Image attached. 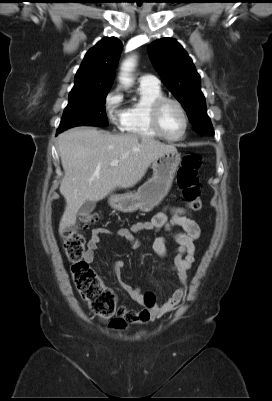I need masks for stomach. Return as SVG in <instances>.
Here are the masks:
<instances>
[{
    "mask_svg": "<svg viewBox=\"0 0 272 401\" xmlns=\"http://www.w3.org/2000/svg\"><path fill=\"white\" fill-rule=\"evenodd\" d=\"M181 161L177 151L164 153L152 162L153 176L136 192L113 194L109 197L112 208L121 212H150L168 194Z\"/></svg>",
    "mask_w": 272,
    "mask_h": 401,
    "instance_id": "obj_1",
    "label": "stomach"
}]
</instances>
